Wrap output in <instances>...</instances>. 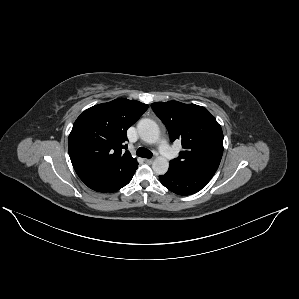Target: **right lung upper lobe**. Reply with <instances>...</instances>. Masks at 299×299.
I'll list each match as a JSON object with an SVG mask.
<instances>
[{"label": "right lung upper lobe", "instance_id": "right-lung-upper-lobe-1", "mask_svg": "<svg viewBox=\"0 0 299 299\" xmlns=\"http://www.w3.org/2000/svg\"><path fill=\"white\" fill-rule=\"evenodd\" d=\"M148 105L124 98L95 105L75 121L68 139L72 165L83 182L138 165L127 149L126 131Z\"/></svg>", "mask_w": 299, "mask_h": 299}]
</instances>
